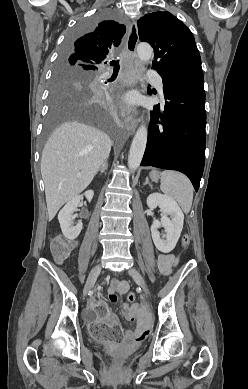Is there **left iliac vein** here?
Instances as JSON below:
<instances>
[{"label": "left iliac vein", "instance_id": "obj_1", "mask_svg": "<svg viewBox=\"0 0 248 389\" xmlns=\"http://www.w3.org/2000/svg\"><path fill=\"white\" fill-rule=\"evenodd\" d=\"M128 273L136 281V283L142 288L144 295L146 297H149V290L147 288V285L142 275L136 269L133 268L129 269Z\"/></svg>", "mask_w": 248, "mask_h": 389}]
</instances>
